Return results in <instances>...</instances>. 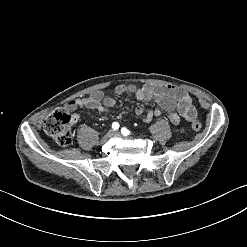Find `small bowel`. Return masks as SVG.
I'll list each match as a JSON object with an SVG mask.
<instances>
[{"mask_svg":"<svg viewBox=\"0 0 247 247\" xmlns=\"http://www.w3.org/2000/svg\"><path fill=\"white\" fill-rule=\"evenodd\" d=\"M114 91L117 95H134L140 101H154L161 109L169 113V120L174 125L179 123L180 115H183L186 122L194 121L197 118V109L192 106L189 93L180 87L157 84L138 86L134 83H124L117 85ZM115 104L116 101L113 97L104 96L102 91L96 90L87 97L69 101L65 108L70 112L84 108L108 112ZM134 112L136 115L142 116L145 122L162 115L160 109L144 114V109L140 105L135 107ZM73 118L74 121H77L79 115L74 114Z\"/></svg>","mask_w":247,"mask_h":247,"instance_id":"small-bowel-1","label":"small bowel"}]
</instances>
